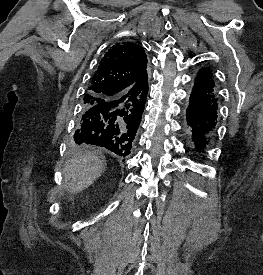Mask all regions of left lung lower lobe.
Masks as SVG:
<instances>
[{
    "mask_svg": "<svg viewBox=\"0 0 263 275\" xmlns=\"http://www.w3.org/2000/svg\"><path fill=\"white\" fill-rule=\"evenodd\" d=\"M218 117V96L209 68L196 76L186 111L187 133L198 153H203L214 133Z\"/></svg>",
    "mask_w": 263,
    "mask_h": 275,
    "instance_id": "0a47b994",
    "label": "left lung lower lobe"
}]
</instances>
